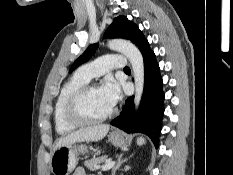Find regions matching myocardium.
<instances>
[{"mask_svg": "<svg viewBox=\"0 0 233 175\" xmlns=\"http://www.w3.org/2000/svg\"><path fill=\"white\" fill-rule=\"evenodd\" d=\"M96 87V85L85 84L73 92L68 98L65 105V115L70 122L77 125H91L101 123L114 115V108L100 117H91L85 113L83 109L84 100L87 94Z\"/></svg>", "mask_w": 233, "mask_h": 175, "instance_id": "1", "label": "myocardium"}]
</instances>
